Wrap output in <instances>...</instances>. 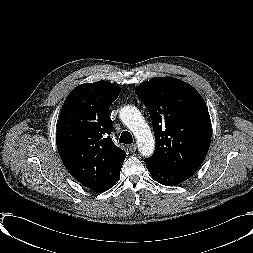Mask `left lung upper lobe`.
Wrapping results in <instances>:
<instances>
[{"mask_svg": "<svg viewBox=\"0 0 253 253\" xmlns=\"http://www.w3.org/2000/svg\"><path fill=\"white\" fill-rule=\"evenodd\" d=\"M136 95L146 106L156 140L147 166L170 171L196 172L211 141V121L201 95L175 78H153L138 86Z\"/></svg>", "mask_w": 253, "mask_h": 253, "instance_id": "1", "label": "left lung upper lobe"}]
</instances>
